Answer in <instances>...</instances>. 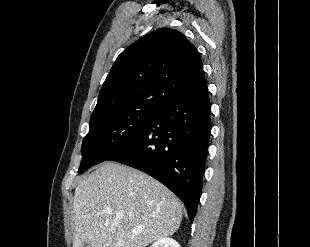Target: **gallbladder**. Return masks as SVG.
<instances>
[{
  "mask_svg": "<svg viewBox=\"0 0 310 247\" xmlns=\"http://www.w3.org/2000/svg\"><path fill=\"white\" fill-rule=\"evenodd\" d=\"M82 247H90L88 243H84Z\"/></svg>",
  "mask_w": 310,
  "mask_h": 247,
  "instance_id": "obj_1",
  "label": "gallbladder"
}]
</instances>
